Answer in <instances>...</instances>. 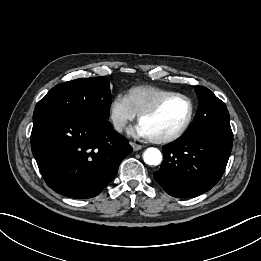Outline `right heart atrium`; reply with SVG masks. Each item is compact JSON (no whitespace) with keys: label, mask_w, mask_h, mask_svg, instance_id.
Wrapping results in <instances>:
<instances>
[{"label":"right heart atrium","mask_w":261,"mask_h":261,"mask_svg":"<svg viewBox=\"0 0 261 261\" xmlns=\"http://www.w3.org/2000/svg\"><path fill=\"white\" fill-rule=\"evenodd\" d=\"M135 116L136 113L130 106L126 96L118 94L111 100L109 119L116 131H122Z\"/></svg>","instance_id":"obj_1"}]
</instances>
